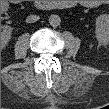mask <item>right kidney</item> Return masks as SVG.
I'll use <instances>...</instances> for the list:
<instances>
[{
	"instance_id": "1",
	"label": "right kidney",
	"mask_w": 109,
	"mask_h": 109,
	"mask_svg": "<svg viewBox=\"0 0 109 109\" xmlns=\"http://www.w3.org/2000/svg\"><path fill=\"white\" fill-rule=\"evenodd\" d=\"M12 28L9 26H4L3 31L1 32V45L2 47H5L11 37Z\"/></svg>"
}]
</instances>
